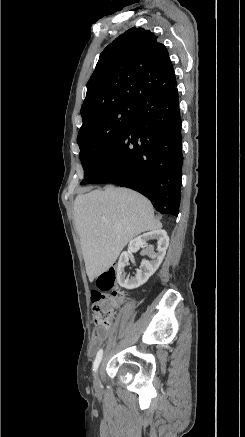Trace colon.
Here are the masks:
<instances>
[{"mask_svg": "<svg viewBox=\"0 0 245 437\" xmlns=\"http://www.w3.org/2000/svg\"><path fill=\"white\" fill-rule=\"evenodd\" d=\"M96 288L91 291V302L96 326L95 337L107 335L113 315V307L122 300V294L116 290L117 272L115 267L100 274L95 281Z\"/></svg>", "mask_w": 245, "mask_h": 437, "instance_id": "colon-1", "label": "colon"}]
</instances>
